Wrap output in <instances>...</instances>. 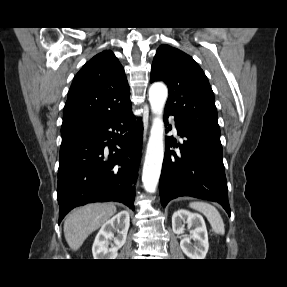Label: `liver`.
<instances>
[{
  "instance_id": "1",
  "label": "liver",
  "mask_w": 287,
  "mask_h": 287,
  "mask_svg": "<svg viewBox=\"0 0 287 287\" xmlns=\"http://www.w3.org/2000/svg\"><path fill=\"white\" fill-rule=\"evenodd\" d=\"M116 213L112 203H94L73 210L64 222V236L69 247L78 250L86 238Z\"/></svg>"
}]
</instances>
